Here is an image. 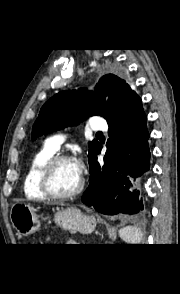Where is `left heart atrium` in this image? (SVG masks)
I'll use <instances>...</instances> for the list:
<instances>
[{"label":"left heart atrium","instance_id":"39dd6f15","mask_svg":"<svg viewBox=\"0 0 180 294\" xmlns=\"http://www.w3.org/2000/svg\"><path fill=\"white\" fill-rule=\"evenodd\" d=\"M73 164H74V168H75L77 174L81 177L83 174V171H84V164H83L82 160L77 159L73 162Z\"/></svg>","mask_w":180,"mask_h":294}]
</instances>
